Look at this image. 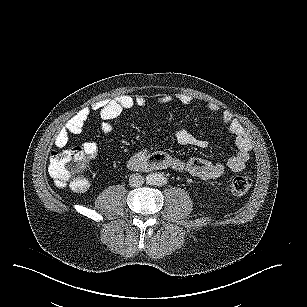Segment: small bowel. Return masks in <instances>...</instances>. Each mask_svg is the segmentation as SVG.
Instances as JSON below:
<instances>
[{
    "label": "small bowel",
    "instance_id": "obj_1",
    "mask_svg": "<svg viewBox=\"0 0 307 307\" xmlns=\"http://www.w3.org/2000/svg\"><path fill=\"white\" fill-rule=\"evenodd\" d=\"M176 100L181 104L188 105L192 99L187 94H179ZM173 101L171 96H162L158 99L159 104H168ZM145 105L142 96L123 95L112 100L98 101L91 108H84L71 117L62 127L55 138V145L64 148L69 143L72 135L82 132L86 121L92 111L98 112L101 117V131L108 134L112 130V120L117 118L123 111L135 106ZM209 112L220 117L224 125L227 126L230 134L234 137L236 152L225 163L210 162L208 160L192 158L188 161H181L170 157L166 153H148L146 150L136 152L128 161L131 169H166L172 168L180 172L188 173L202 179H214L220 177L227 169L232 172L242 171L250 158L252 143L242 125L228 110H220L214 103H207ZM176 139L182 145H189L198 148H205L208 142L186 129H179L176 132ZM83 151L88 160L95 158L98 154V145L93 142L83 144Z\"/></svg>",
    "mask_w": 307,
    "mask_h": 307
}]
</instances>
